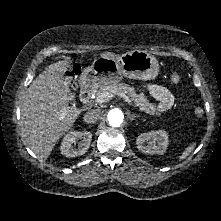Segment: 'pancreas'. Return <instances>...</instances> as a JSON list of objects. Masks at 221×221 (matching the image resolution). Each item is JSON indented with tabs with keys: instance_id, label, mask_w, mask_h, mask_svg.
Segmentation results:
<instances>
[{
	"instance_id": "cf45deb5",
	"label": "pancreas",
	"mask_w": 221,
	"mask_h": 221,
	"mask_svg": "<svg viewBox=\"0 0 221 221\" xmlns=\"http://www.w3.org/2000/svg\"><path fill=\"white\" fill-rule=\"evenodd\" d=\"M108 93L111 96L118 95L119 93H125L136 107H139L141 111H144L150 115L160 116L161 113L156 112V106L150 103L143 93L137 94L134 87H131L125 83H113L108 86L102 87L96 92L98 98L102 94Z\"/></svg>"
}]
</instances>
